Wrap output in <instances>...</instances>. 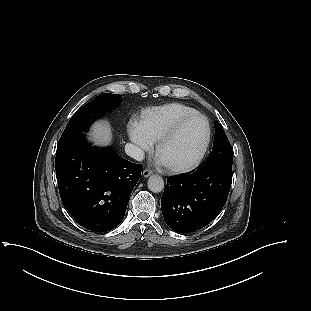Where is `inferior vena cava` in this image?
<instances>
[{"mask_svg": "<svg viewBox=\"0 0 311 311\" xmlns=\"http://www.w3.org/2000/svg\"><path fill=\"white\" fill-rule=\"evenodd\" d=\"M125 153L137 161L144 159V152L138 146L131 143L125 145Z\"/></svg>", "mask_w": 311, "mask_h": 311, "instance_id": "1", "label": "inferior vena cava"}]
</instances>
